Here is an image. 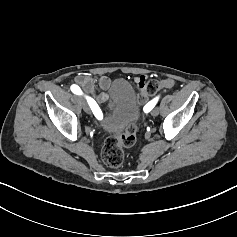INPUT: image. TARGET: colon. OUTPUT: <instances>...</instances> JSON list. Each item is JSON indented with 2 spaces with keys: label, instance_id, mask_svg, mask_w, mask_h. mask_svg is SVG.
Masks as SVG:
<instances>
[{
  "label": "colon",
  "instance_id": "obj_1",
  "mask_svg": "<svg viewBox=\"0 0 237 237\" xmlns=\"http://www.w3.org/2000/svg\"><path fill=\"white\" fill-rule=\"evenodd\" d=\"M161 87L160 82L150 80L145 84L144 94L148 97L155 94ZM137 126L130 124L119 136L110 135L103 143L101 150L102 161L111 168H118L124 160V148L131 147L136 142Z\"/></svg>",
  "mask_w": 237,
  "mask_h": 237
}]
</instances>
